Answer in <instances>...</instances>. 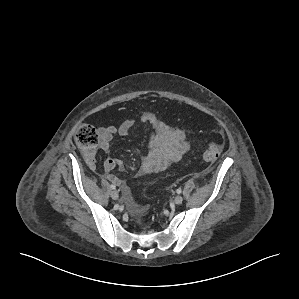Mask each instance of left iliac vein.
<instances>
[{"label":"left iliac vein","instance_id":"left-iliac-vein-1","mask_svg":"<svg viewBox=\"0 0 299 299\" xmlns=\"http://www.w3.org/2000/svg\"><path fill=\"white\" fill-rule=\"evenodd\" d=\"M175 204L179 205L183 202V197L181 195H177L174 199Z\"/></svg>","mask_w":299,"mask_h":299}]
</instances>
